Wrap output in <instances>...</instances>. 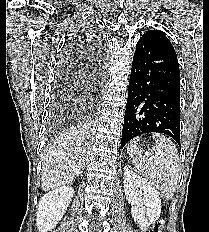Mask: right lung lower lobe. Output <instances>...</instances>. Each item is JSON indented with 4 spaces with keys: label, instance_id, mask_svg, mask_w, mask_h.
Masks as SVG:
<instances>
[{
    "label": "right lung lower lobe",
    "instance_id": "98d812e1",
    "mask_svg": "<svg viewBox=\"0 0 209 232\" xmlns=\"http://www.w3.org/2000/svg\"><path fill=\"white\" fill-rule=\"evenodd\" d=\"M102 73H103L102 61H98V62L96 61L95 68H94V74L101 77Z\"/></svg>",
    "mask_w": 209,
    "mask_h": 232
}]
</instances>
